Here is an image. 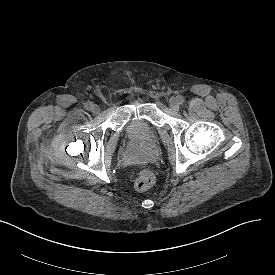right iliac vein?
Masks as SVG:
<instances>
[{
	"label": "right iliac vein",
	"mask_w": 275,
	"mask_h": 275,
	"mask_svg": "<svg viewBox=\"0 0 275 275\" xmlns=\"http://www.w3.org/2000/svg\"><path fill=\"white\" fill-rule=\"evenodd\" d=\"M91 110H92L93 114H98L100 112V108L96 104H92Z\"/></svg>",
	"instance_id": "right-iliac-vein-1"
}]
</instances>
